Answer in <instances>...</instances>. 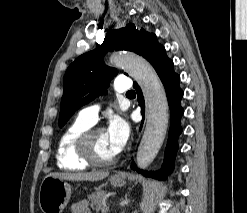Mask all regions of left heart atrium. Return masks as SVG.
<instances>
[{
  "mask_svg": "<svg viewBox=\"0 0 247 213\" xmlns=\"http://www.w3.org/2000/svg\"><path fill=\"white\" fill-rule=\"evenodd\" d=\"M105 132L114 154L121 152L129 138L130 129L128 123L123 118L114 116L110 119Z\"/></svg>",
  "mask_w": 247,
  "mask_h": 213,
  "instance_id": "left-heart-atrium-1",
  "label": "left heart atrium"
}]
</instances>
